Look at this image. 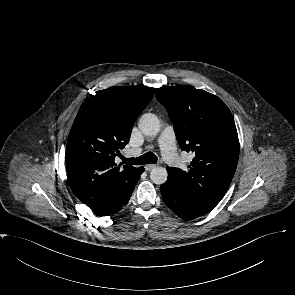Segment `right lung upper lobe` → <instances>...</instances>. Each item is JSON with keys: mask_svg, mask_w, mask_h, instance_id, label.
<instances>
[{"mask_svg": "<svg viewBox=\"0 0 295 295\" xmlns=\"http://www.w3.org/2000/svg\"><path fill=\"white\" fill-rule=\"evenodd\" d=\"M154 92L151 87H111L81 105L67 141L66 170L72 191L92 210L113 200L137 170L114 160Z\"/></svg>", "mask_w": 295, "mask_h": 295, "instance_id": "obj_1", "label": "right lung upper lobe"}]
</instances>
